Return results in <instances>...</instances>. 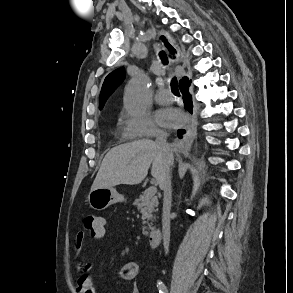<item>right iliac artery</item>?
I'll list each match as a JSON object with an SVG mask.
<instances>
[{"label": "right iliac artery", "mask_w": 293, "mask_h": 293, "mask_svg": "<svg viewBox=\"0 0 293 293\" xmlns=\"http://www.w3.org/2000/svg\"><path fill=\"white\" fill-rule=\"evenodd\" d=\"M157 287L159 289V293H168L167 289L162 281H160V280L157 281Z\"/></svg>", "instance_id": "82829eb1"}]
</instances>
